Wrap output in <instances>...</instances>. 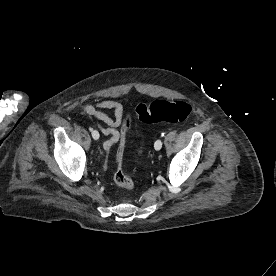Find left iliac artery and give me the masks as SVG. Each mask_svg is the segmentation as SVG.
<instances>
[{"mask_svg":"<svg viewBox=\"0 0 276 276\" xmlns=\"http://www.w3.org/2000/svg\"><path fill=\"white\" fill-rule=\"evenodd\" d=\"M162 137L164 136V133H162V135H161Z\"/></svg>","mask_w":276,"mask_h":276,"instance_id":"left-iliac-artery-1","label":"left iliac artery"}]
</instances>
